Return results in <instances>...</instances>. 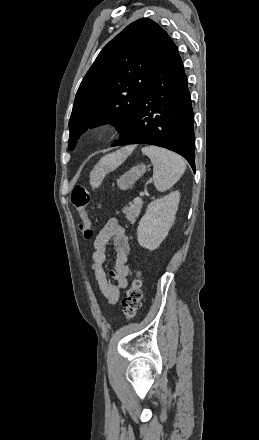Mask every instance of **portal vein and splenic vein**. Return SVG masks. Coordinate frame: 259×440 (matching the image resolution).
<instances>
[{
  "mask_svg": "<svg viewBox=\"0 0 259 440\" xmlns=\"http://www.w3.org/2000/svg\"><path fill=\"white\" fill-rule=\"evenodd\" d=\"M140 196L141 197L144 196V192H140ZM134 201L135 202H140V201H142V199L140 197H137V198L134 199Z\"/></svg>",
  "mask_w": 259,
  "mask_h": 440,
  "instance_id": "18ae733b",
  "label": "portal vein and splenic vein"
}]
</instances>
